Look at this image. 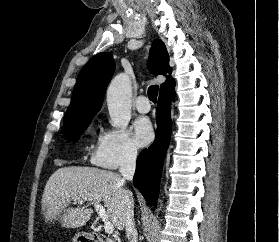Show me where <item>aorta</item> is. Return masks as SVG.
Masks as SVG:
<instances>
[{"label":"aorta","mask_w":279,"mask_h":242,"mask_svg":"<svg viewBox=\"0 0 279 242\" xmlns=\"http://www.w3.org/2000/svg\"><path fill=\"white\" fill-rule=\"evenodd\" d=\"M110 123L116 128H125L131 119V84L124 73L117 75L107 91Z\"/></svg>","instance_id":"1"}]
</instances>
